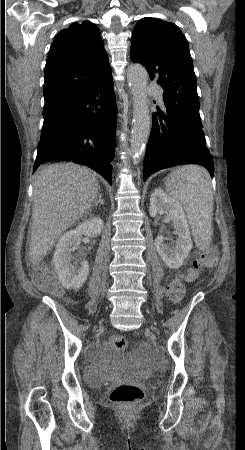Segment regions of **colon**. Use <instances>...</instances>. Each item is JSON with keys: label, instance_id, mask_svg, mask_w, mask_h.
Returning a JSON list of instances; mask_svg holds the SVG:
<instances>
[{"label": "colon", "instance_id": "colon-1", "mask_svg": "<svg viewBox=\"0 0 245 450\" xmlns=\"http://www.w3.org/2000/svg\"><path fill=\"white\" fill-rule=\"evenodd\" d=\"M217 259V250L208 248L193 260L192 269L204 270L213 268L216 265ZM189 273V270H180L169 281L167 285V297L172 303L179 304L184 300L186 288L183 280ZM38 286L53 294H61L60 287L54 283L53 277L49 274H42L39 276ZM110 342L115 349L120 351L126 350L129 346L128 340L122 336H113L110 339ZM144 397L145 392L140 386L134 384H119L112 388L109 399L111 403L117 406L130 407L141 401Z\"/></svg>", "mask_w": 245, "mask_h": 450}]
</instances>
